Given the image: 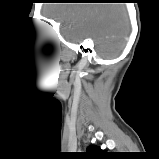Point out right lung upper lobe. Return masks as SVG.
I'll return each instance as SVG.
<instances>
[{
    "label": "right lung upper lobe",
    "mask_w": 159,
    "mask_h": 159,
    "mask_svg": "<svg viewBox=\"0 0 159 159\" xmlns=\"http://www.w3.org/2000/svg\"><path fill=\"white\" fill-rule=\"evenodd\" d=\"M87 152L92 155H96L101 152V149L96 146H89L87 149Z\"/></svg>",
    "instance_id": "1"
}]
</instances>
